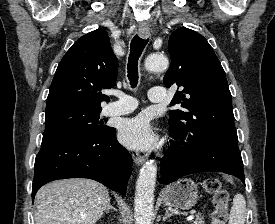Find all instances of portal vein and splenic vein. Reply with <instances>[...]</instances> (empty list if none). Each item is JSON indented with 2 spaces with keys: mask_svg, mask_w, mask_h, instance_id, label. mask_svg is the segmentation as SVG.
<instances>
[{
  "mask_svg": "<svg viewBox=\"0 0 275 224\" xmlns=\"http://www.w3.org/2000/svg\"><path fill=\"white\" fill-rule=\"evenodd\" d=\"M194 215L192 214V215H189L187 218H186V220L187 221H191V220H193L194 219Z\"/></svg>",
  "mask_w": 275,
  "mask_h": 224,
  "instance_id": "portal-vein-and-splenic-vein-1",
  "label": "portal vein and splenic vein"
}]
</instances>
